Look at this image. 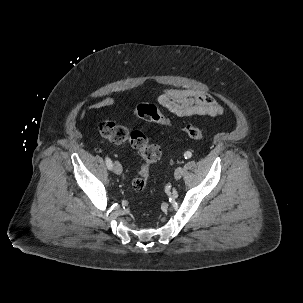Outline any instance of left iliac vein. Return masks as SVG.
Listing matches in <instances>:
<instances>
[{"instance_id": "obj_1", "label": "left iliac vein", "mask_w": 303, "mask_h": 303, "mask_svg": "<svg viewBox=\"0 0 303 303\" xmlns=\"http://www.w3.org/2000/svg\"><path fill=\"white\" fill-rule=\"evenodd\" d=\"M184 173V169L182 167H178L174 172V177L176 180H179Z\"/></svg>"}]
</instances>
